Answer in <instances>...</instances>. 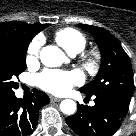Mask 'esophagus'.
I'll list each match as a JSON object with an SVG mask.
<instances>
[{
    "instance_id": "1",
    "label": "esophagus",
    "mask_w": 136,
    "mask_h": 136,
    "mask_svg": "<svg viewBox=\"0 0 136 136\" xmlns=\"http://www.w3.org/2000/svg\"><path fill=\"white\" fill-rule=\"evenodd\" d=\"M51 102H59L61 101V98L55 97V96H50Z\"/></svg>"
}]
</instances>
